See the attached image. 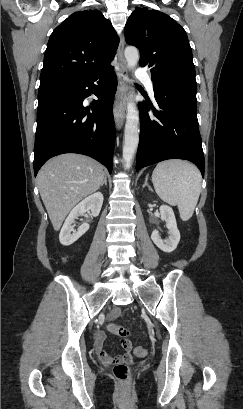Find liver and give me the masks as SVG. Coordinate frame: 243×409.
<instances>
[{
    "label": "liver",
    "mask_w": 243,
    "mask_h": 409,
    "mask_svg": "<svg viewBox=\"0 0 243 409\" xmlns=\"http://www.w3.org/2000/svg\"><path fill=\"white\" fill-rule=\"evenodd\" d=\"M104 175L99 162L79 154L59 155L43 165L38 188L55 231L77 203L100 188Z\"/></svg>",
    "instance_id": "1"
}]
</instances>
